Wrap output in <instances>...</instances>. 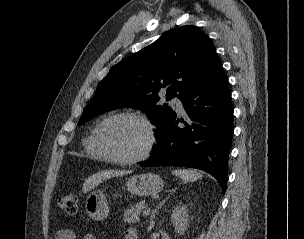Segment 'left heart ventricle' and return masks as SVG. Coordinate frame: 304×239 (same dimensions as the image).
I'll use <instances>...</instances> for the list:
<instances>
[{
  "label": "left heart ventricle",
  "instance_id": "left-heart-ventricle-1",
  "mask_svg": "<svg viewBox=\"0 0 304 239\" xmlns=\"http://www.w3.org/2000/svg\"><path fill=\"white\" fill-rule=\"evenodd\" d=\"M102 141L112 153L128 158L143 151L148 141V132L140 121L120 118L104 127Z\"/></svg>",
  "mask_w": 304,
  "mask_h": 239
}]
</instances>
